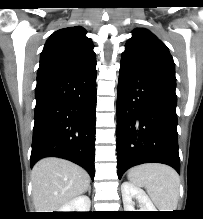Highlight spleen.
I'll return each mask as SVG.
<instances>
[{"label":"spleen","instance_id":"3e777b00","mask_svg":"<svg viewBox=\"0 0 203 219\" xmlns=\"http://www.w3.org/2000/svg\"><path fill=\"white\" fill-rule=\"evenodd\" d=\"M128 179L144 187L159 211H173L179 198V176L163 164H142L131 168Z\"/></svg>","mask_w":203,"mask_h":219}]
</instances>
